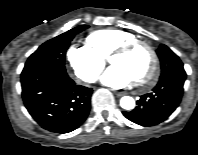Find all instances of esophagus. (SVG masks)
<instances>
[{"label":"esophagus","mask_w":198,"mask_h":155,"mask_svg":"<svg viewBox=\"0 0 198 155\" xmlns=\"http://www.w3.org/2000/svg\"><path fill=\"white\" fill-rule=\"evenodd\" d=\"M115 94H116L118 97H121V96L125 95L124 92H116Z\"/></svg>","instance_id":"1"}]
</instances>
